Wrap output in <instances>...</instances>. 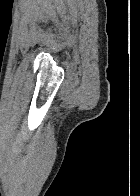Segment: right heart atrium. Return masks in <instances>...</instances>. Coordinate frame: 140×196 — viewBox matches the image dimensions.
<instances>
[{
  "label": "right heart atrium",
  "mask_w": 140,
  "mask_h": 196,
  "mask_svg": "<svg viewBox=\"0 0 140 196\" xmlns=\"http://www.w3.org/2000/svg\"><path fill=\"white\" fill-rule=\"evenodd\" d=\"M8 192V191H7ZM31 192H39V191H31Z\"/></svg>",
  "instance_id": "obj_1"
}]
</instances>
